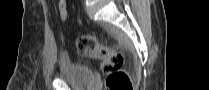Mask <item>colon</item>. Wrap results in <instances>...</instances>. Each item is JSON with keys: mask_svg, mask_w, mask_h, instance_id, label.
<instances>
[{"mask_svg": "<svg viewBox=\"0 0 209 90\" xmlns=\"http://www.w3.org/2000/svg\"><path fill=\"white\" fill-rule=\"evenodd\" d=\"M58 13L62 20H66V0L59 1ZM76 47L80 56L100 61L101 69L106 74V85L109 90H133L131 80L123 69L122 53L104 46L95 35L91 34L80 36Z\"/></svg>", "mask_w": 209, "mask_h": 90, "instance_id": "obj_1", "label": "colon"}]
</instances>
